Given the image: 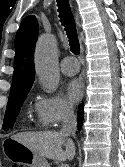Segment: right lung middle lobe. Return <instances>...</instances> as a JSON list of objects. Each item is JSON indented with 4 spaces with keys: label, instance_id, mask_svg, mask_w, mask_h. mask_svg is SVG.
Returning a JSON list of instances; mask_svg holds the SVG:
<instances>
[{
    "label": "right lung middle lobe",
    "instance_id": "right-lung-middle-lobe-1",
    "mask_svg": "<svg viewBox=\"0 0 125 167\" xmlns=\"http://www.w3.org/2000/svg\"><path fill=\"white\" fill-rule=\"evenodd\" d=\"M29 90H25L9 96L5 116L3 129L8 130L13 127L16 116L18 115L20 108L28 94Z\"/></svg>",
    "mask_w": 125,
    "mask_h": 167
}]
</instances>
